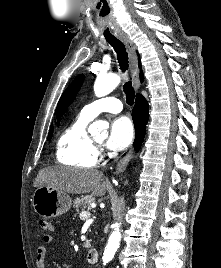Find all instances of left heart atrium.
Instances as JSON below:
<instances>
[{"instance_id": "1", "label": "left heart atrium", "mask_w": 221, "mask_h": 268, "mask_svg": "<svg viewBox=\"0 0 221 268\" xmlns=\"http://www.w3.org/2000/svg\"><path fill=\"white\" fill-rule=\"evenodd\" d=\"M133 134L131 121L125 116L118 117L111 123L107 147L115 151L123 150L131 143Z\"/></svg>"}]
</instances>
